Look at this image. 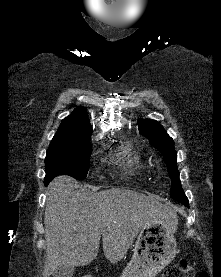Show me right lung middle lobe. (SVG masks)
<instances>
[{
    "instance_id": "dd1d6c3e",
    "label": "right lung middle lobe",
    "mask_w": 221,
    "mask_h": 277,
    "mask_svg": "<svg viewBox=\"0 0 221 277\" xmlns=\"http://www.w3.org/2000/svg\"><path fill=\"white\" fill-rule=\"evenodd\" d=\"M91 136H54L45 158L44 184L56 176L66 174L75 179H85L90 166Z\"/></svg>"
}]
</instances>
